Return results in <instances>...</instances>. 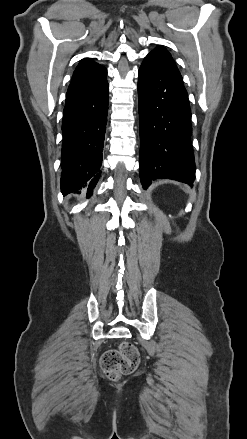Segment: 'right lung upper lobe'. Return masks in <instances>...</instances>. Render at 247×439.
Here are the masks:
<instances>
[{
  "label": "right lung upper lobe",
  "mask_w": 247,
  "mask_h": 439,
  "mask_svg": "<svg viewBox=\"0 0 247 439\" xmlns=\"http://www.w3.org/2000/svg\"><path fill=\"white\" fill-rule=\"evenodd\" d=\"M107 69L91 58L82 59L76 67L67 95L95 89L106 82Z\"/></svg>",
  "instance_id": "right-lung-upper-lobe-1"
}]
</instances>
